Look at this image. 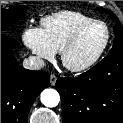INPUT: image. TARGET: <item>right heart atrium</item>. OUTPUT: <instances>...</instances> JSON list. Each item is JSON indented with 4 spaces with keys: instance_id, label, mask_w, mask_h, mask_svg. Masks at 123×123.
Wrapping results in <instances>:
<instances>
[{
    "instance_id": "d8ad5b80",
    "label": "right heart atrium",
    "mask_w": 123,
    "mask_h": 123,
    "mask_svg": "<svg viewBox=\"0 0 123 123\" xmlns=\"http://www.w3.org/2000/svg\"><path fill=\"white\" fill-rule=\"evenodd\" d=\"M24 45L31 53L39 59L51 60L55 56V51L47 42L42 29L29 26L22 34Z\"/></svg>"
}]
</instances>
